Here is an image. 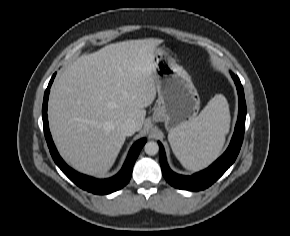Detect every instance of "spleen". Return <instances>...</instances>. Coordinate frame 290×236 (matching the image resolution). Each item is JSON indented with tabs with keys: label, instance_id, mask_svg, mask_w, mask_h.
Listing matches in <instances>:
<instances>
[{
	"label": "spleen",
	"instance_id": "obj_1",
	"mask_svg": "<svg viewBox=\"0 0 290 236\" xmlns=\"http://www.w3.org/2000/svg\"><path fill=\"white\" fill-rule=\"evenodd\" d=\"M230 127L226 98L215 95L200 114L168 134L173 153L189 170H200L221 153Z\"/></svg>",
	"mask_w": 290,
	"mask_h": 236
}]
</instances>
